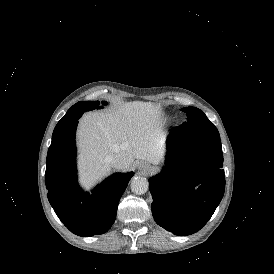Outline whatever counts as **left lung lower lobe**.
Listing matches in <instances>:
<instances>
[{
    "mask_svg": "<svg viewBox=\"0 0 274 274\" xmlns=\"http://www.w3.org/2000/svg\"><path fill=\"white\" fill-rule=\"evenodd\" d=\"M167 148L166 166L149 179L152 214L173 234L190 235L207 223L224 194L220 135L178 126L170 131Z\"/></svg>",
    "mask_w": 274,
    "mask_h": 274,
    "instance_id": "obj_1",
    "label": "left lung lower lobe"
}]
</instances>
